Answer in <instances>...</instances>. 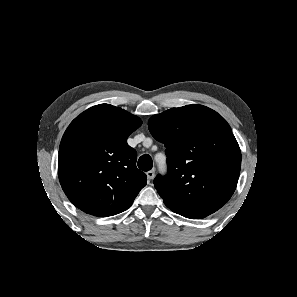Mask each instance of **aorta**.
<instances>
[{
    "mask_svg": "<svg viewBox=\"0 0 297 297\" xmlns=\"http://www.w3.org/2000/svg\"><path fill=\"white\" fill-rule=\"evenodd\" d=\"M158 164L160 165V164H161V162H159V161H158Z\"/></svg>",
    "mask_w": 297,
    "mask_h": 297,
    "instance_id": "aorta-1",
    "label": "aorta"
}]
</instances>
